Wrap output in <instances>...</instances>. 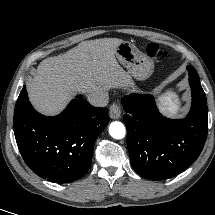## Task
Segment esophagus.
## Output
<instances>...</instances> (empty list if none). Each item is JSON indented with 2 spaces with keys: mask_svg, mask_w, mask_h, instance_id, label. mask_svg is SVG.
<instances>
[{
  "mask_svg": "<svg viewBox=\"0 0 215 215\" xmlns=\"http://www.w3.org/2000/svg\"><path fill=\"white\" fill-rule=\"evenodd\" d=\"M109 116L112 119H119L121 116V108L117 103H113L109 108Z\"/></svg>",
  "mask_w": 215,
  "mask_h": 215,
  "instance_id": "34e87169",
  "label": "esophagus"
}]
</instances>
